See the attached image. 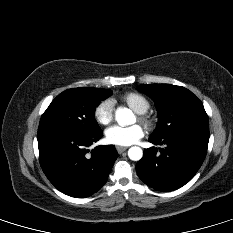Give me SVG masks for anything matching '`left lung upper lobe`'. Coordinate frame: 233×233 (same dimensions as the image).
I'll list each match as a JSON object with an SVG mask.
<instances>
[{
  "mask_svg": "<svg viewBox=\"0 0 233 233\" xmlns=\"http://www.w3.org/2000/svg\"><path fill=\"white\" fill-rule=\"evenodd\" d=\"M139 91L151 97L158 112V125L150 136L162 139L191 130L209 131L202 102L188 89L170 84L140 85Z\"/></svg>",
  "mask_w": 233,
  "mask_h": 233,
  "instance_id": "left-lung-upper-lobe-1",
  "label": "left lung upper lobe"
}]
</instances>
